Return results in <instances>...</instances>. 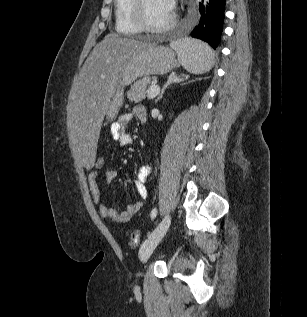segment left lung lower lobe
<instances>
[{
    "label": "left lung lower lobe",
    "instance_id": "0a47b994",
    "mask_svg": "<svg viewBox=\"0 0 307 317\" xmlns=\"http://www.w3.org/2000/svg\"><path fill=\"white\" fill-rule=\"evenodd\" d=\"M198 10L199 19L191 31V36L216 49L223 30L225 0H201Z\"/></svg>",
    "mask_w": 307,
    "mask_h": 317
}]
</instances>
